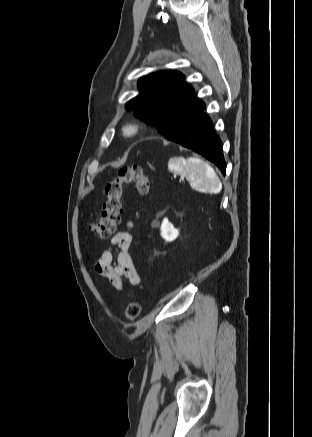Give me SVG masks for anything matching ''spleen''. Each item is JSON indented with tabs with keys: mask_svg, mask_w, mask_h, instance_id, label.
<instances>
[{
	"mask_svg": "<svg viewBox=\"0 0 312 437\" xmlns=\"http://www.w3.org/2000/svg\"><path fill=\"white\" fill-rule=\"evenodd\" d=\"M168 169L186 176L195 188L208 193H219L222 184L215 170L200 158L174 157L168 162Z\"/></svg>",
	"mask_w": 312,
	"mask_h": 437,
	"instance_id": "obj_1",
	"label": "spleen"
}]
</instances>
